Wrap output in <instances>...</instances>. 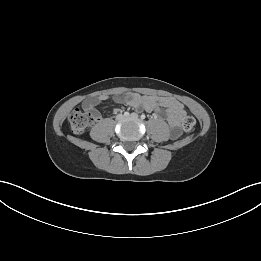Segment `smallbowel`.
Listing matches in <instances>:
<instances>
[{"instance_id":"c3829d8e","label":"small bowel","mask_w":261,"mask_h":261,"mask_svg":"<svg viewBox=\"0 0 261 261\" xmlns=\"http://www.w3.org/2000/svg\"><path fill=\"white\" fill-rule=\"evenodd\" d=\"M108 99L113 100L115 103L131 106L138 111L144 110L163 117L171 127V136L176 138L180 134V125L185 116V109L184 106L174 98L134 93L116 96L98 95L84 100L82 108L85 112L91 113L94 120L99 122L102 117L96 110V106Z\"/></svg>"}]
</instances>
